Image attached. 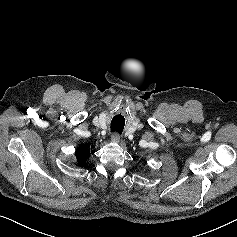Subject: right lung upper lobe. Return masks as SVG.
I'll return each mask as SVG.
<instances>
[{"mask_svg":"<svg viewBox=\"0 0 237 237\" xmlns=\"http://www.w3.org/2000/svg\"><path fill=\"white\" fill-rule=\"evenodd\" d=\"M90 152L87 149L86 146L81 145L79 148L76 150V156H77V163L79 166H84L86 163L87 159L89 158Z\"/></svg>","mask_w":237,"mask_h":237,"instance_id":"obj_1","label":"right lung upper lobe"}]
</instances>
